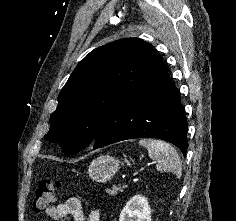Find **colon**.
I'll use <instances>...</instances> for the list:
<instances>
[{
	"label": "colon",
	"mask_w": 236,
	"mask_h": 221,
	"mask_svg": "<svg viewBox=\"0 0 236 221\" xmlns=\"http://www.w3.org/2000/svg\"><path fill=\"white\" fill-rule=\"evenodd\" d=\"M61 187L62 183L60 181H42L35 190L33 203L34 209L36 211L42 212L52 206L55 199V193Z\"/></svg>",
	"instance_id": "5ec220e1"
}]
</instances>
